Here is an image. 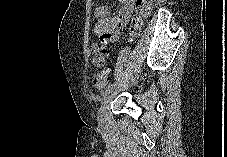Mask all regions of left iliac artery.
Here are the masks:
<instances>
[{"label":"left iliac artery","instance_id":"obj_1","mask_svg":"<svg viewBox=\"0 0 227 157\" xmlns=\"http://www.w3.org/2000/svg\"><path fill=\"white\" fill-rule=\"evenodd\" d=\"M114 86H116V83H110L104 90V93L112 90L114 88Z\"/></svg>","mask_w":227,"mask_h":157}]
</instances>
